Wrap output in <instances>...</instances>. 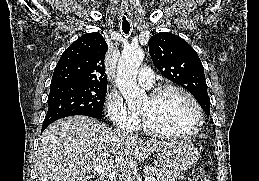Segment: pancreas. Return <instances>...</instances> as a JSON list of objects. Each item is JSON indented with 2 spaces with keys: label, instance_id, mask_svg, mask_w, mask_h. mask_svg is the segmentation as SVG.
<instances>
[{
  "label": "pancreas",
  "instance_id": "pancreas-1",
  "mask_svg": "<svg viewBox=\"0 0 259 181\" xmlns=\"http://www.w3.org/2000/svg\"><path fill=\"white\" fill-rule=\"evenodd\" d=\"M143 171L146 175V178H156L157 181H177L184 178L183 174L179 172L169 171L166 169L151 166H145Z\"/></svg>",
  "mask_w": 259,
  "mask_h": 181
}]
</instances>
